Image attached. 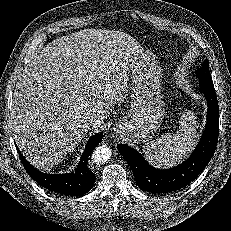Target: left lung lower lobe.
<instances>
[{"mask_svg": "<svg viewBox=\"0 0 231 231\" xmlns=\"http://www.w3.org/2000/svg\"><path fill=\"white\" fill-rule=\"evenodd\" d=\"M199 82L207 100V122L200 142L185 162L172 169L159 170L150 166L138 151L118 144L119 152L131 167L137 185L143 191L160 194L180 190L193 181L211 160L218 141L219 107L213 81Z\"/></svg>", "mask_w": 231, "mask_h": 231, "instance_id": "1", "label": "left lung lower lobe"}]
</instances>
